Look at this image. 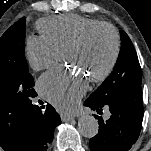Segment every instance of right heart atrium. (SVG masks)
I'll return each instance as SVG.
<instances>
[{"instance_id": "right-heart-atrium-1", "label": "right heart atrium", "mask_w": 151, "mask_h": 151, "mask_svg": "<svg viewBox=\"0 0 151 151\" xmlns=\"http://www.w3.org/2000/svg\"><path fill=\"white\" fill-rule=\"evenodd\" d=\"M25 55L31 68L40 71L58 63L63 53L43 36H31L26 41Z\"/></svg>"}]
</instances>
